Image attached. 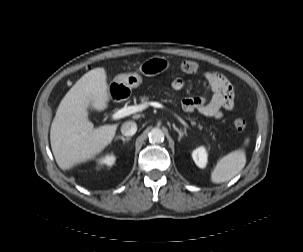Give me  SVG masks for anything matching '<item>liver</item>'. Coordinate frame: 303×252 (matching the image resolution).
I'll list each match as a JSON object with an SVG mask.
<instances>
[{"mask_svg": "<svg viewBox=\"0 0 303 252\" xmlns=\"http://www.w3.org/2000/svg\"><path fill=\"white\" fill-rule=\"evenodd\" d=\"M109 100L104 68L84 74L64 96L50 130L52 152L62 170L95 158L111 143L118 124L94 128L88 118L89 108L103 111Z\"/></svg>", "mask_w": 303, "mask_h": 252, "instance_id": "1", "label": "liver"}]
</instances>
